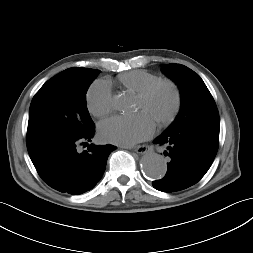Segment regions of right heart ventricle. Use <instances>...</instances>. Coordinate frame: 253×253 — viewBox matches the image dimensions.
Returning <instances> with one entry per match:
<instances>
[{"label":"right heart ventricle","mask_w":253,"mask_h":253,"mask_svg":"<svg viewBox=\"0 0 253 253\" xmlns=\"http://www.w3.org/2000/svg\"><path fill=\"white\" fill-rule=\"evenodd\" d=\"M160 79L159 76L145 70H131L118 76V83L125 89L139 93L152 82Z\"/></svg>","instance_id":"1"}]
</instances>
